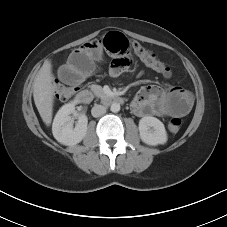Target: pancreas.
Segmentation results:
<instances>
[{
	"label": "pancreas",
	"instance_id": "pancreas-1",
	"mask_svg": "<svg viewBox=\"0 0 227 227\" xmlns=\"http://www.w3.org/2000/svg\"><path fill=\"white\" fill-rule=\"evenodd\" d=\"M92 88V91L94 92V94L97 96V97H100V98H103L105 96L101 86H98V85H93L91 86Z\"/></svg>",
	"mask_w": 227,
	"mask_h": 227
}]
</instances>
